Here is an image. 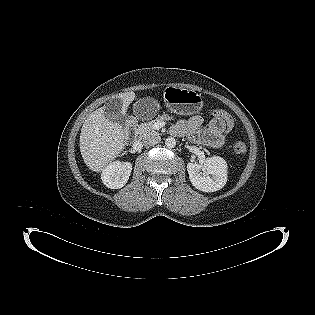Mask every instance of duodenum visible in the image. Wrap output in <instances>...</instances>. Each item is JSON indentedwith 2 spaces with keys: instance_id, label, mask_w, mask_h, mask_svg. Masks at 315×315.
<instances>
[{
  "instance_id": "1",
  "label": "duodenum",
  "mask_w": 315,
  "mask_h": 315,
  "mask_svg": "<svg viewBox=\"0 0 315 315\" xmlns=\"http://www.w3.org/2000/svg\"><path fill=\"white\" fill-rule=\"evenodd\" d=\"M137 124L136 121L132 118L128 119L126 123V135L127 137L131 136L136 130Z\"/></svg>"
}]
</instances>
